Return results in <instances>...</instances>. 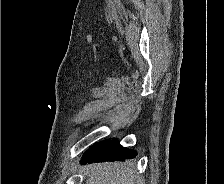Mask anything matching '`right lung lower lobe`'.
Here are the masks:
<instances>
[{
  "label": "right lung lower lobe",
  "mask_w": 224,
  "mask_h": 184,
  "mask_svg": "<svg viewBox=\"0 0 224 184\" xmlns=\"http://www.w3.org/2000/svg\"><path fill=\"white\" fill-rule=\"evenodd\" d=\"M137 152L122 147L118 139H108L98 142L88 149L82 157L81 164L87 162H105V161H124L125 159L135 158Z\"/></svg>",
  "instance_id": "obj_1"
}]
</instances>
